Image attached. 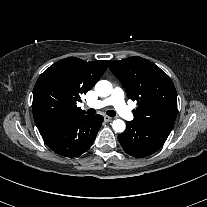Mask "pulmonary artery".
I'll return each mask as SVG.
<instances>
[{
  "mask_svg": "<svg viewBox=\"0 0 207 207\" xmlns=\"http://www.w3.org/2000/svg\"><path fill=\"white\" fill-rule=\"evenodd\" d=\"M108 105H113L116 111L124 118L128 120L133 118L128 106L124 102V92L122 89L115 88L108 98L88 103L89 107L95 109H99Z\"/></svg>",
  "mask_w": 207,
  "mask_h": 207,
  "instance_id": "e3ab8cb5",
  "label": "pulmonary artery"
}]
</instances>
